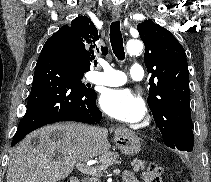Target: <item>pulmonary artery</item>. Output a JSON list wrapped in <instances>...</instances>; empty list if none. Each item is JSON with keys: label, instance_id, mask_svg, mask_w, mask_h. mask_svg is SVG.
I'll list each match as a JSON object with an SVG mask.
<instances>
[{"label": "pulmonary artery", "instance_id": "e3ab8cb5", "mask_svg": "<svg viewBox=\"0 0 211 182\" xmlns=\"http://www.w3.org/2000/svg\"><path fill=\"white\" fill-rule=\"evenodd\" d=\"M131 79L139 81L144 77L143 67L139 64H134L129 72ZM92 82L106 86H119L127 81L126 75L108 65L103 66L102 72H93L90 76Z\"/></svg>", "mask_w": 211, "mask_h": 182}]
</instances>
